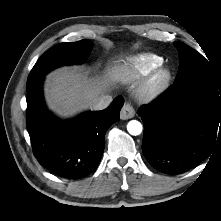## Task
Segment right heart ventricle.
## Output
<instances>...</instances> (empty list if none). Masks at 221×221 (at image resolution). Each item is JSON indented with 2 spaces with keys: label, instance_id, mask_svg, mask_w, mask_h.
I'll use <instances>...</instances> for the list:
<instances>
[{
  "label": "right heart ventricle",
  "instance_id": "right-heart-ventricle-1",
  "mask_svg": "<svg viewBox=\"0 0 221 221\" xmlns=\"http://www.w3.org/2000/svg\"><path fill=\"white\" fill-rule=\"evenodd\" d=\"M163 58L153 53H141L127 58L116 68V74L124 82H132L146 76L161 65Z\"/></svg>",
  "mask_w": 221,
  "mask_h": 221
}]
</instances>
